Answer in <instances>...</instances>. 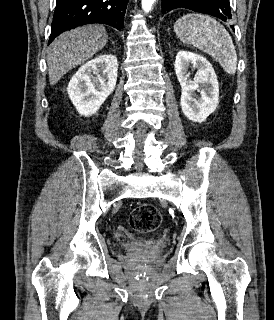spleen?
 Segmentation results:
<instances>
[{"mask_svg": "<svg viewBox=\"0 0 274 320\" xmlns=\"http://www.w3.org/2000/svg\"><path fill=\"white\" fill-rule=\"evenodd\" d=\"M174 30L184 44H192L218 60L227 74H236L235 46L224 26L210 16L187 14L175 22Z\"/></svg>", "mask_w": 274, "mask_h": 320, "instance_id": "obj_1", "label": "spleen"}]
</instances>
